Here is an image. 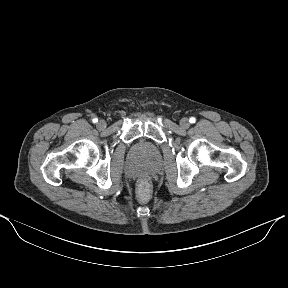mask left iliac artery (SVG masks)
Masks as SVG:
<instances>
[{
    "mask_svg": "<svg viewBox=\"0 0 288 288\" xmlns=\"http://www.w3.org/2000/svg\"><path fill=\"white\" fill-rule=\"evenodd\" d=\"M189 122H190V123H195V122H196V119H195L194 117H191V118L189 119Z\"/></svg>",
    "mask_w": 288,
    "mask_h": 288,
    "instance_id": "44dca946",
    "label": "left iliac artery"
}]
</instances>
